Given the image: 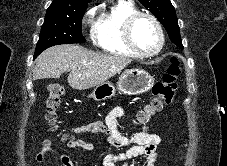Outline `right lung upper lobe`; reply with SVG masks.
Segmentation results:
<instances>
[{"label": "right lung upper lobe", "instance_id": "right-lung-upper-lobe-1", "mask_svg": "<svg viewBox=\"0 0 227 166\" xmlns=\"http://www.w3.org/2000/svg\"><path fill=\"white\" fill-rule=\"evenodd\" d=\"M91 0H53L48 12L79 11L86 9Z\"/></svg>", "mask_w": 227, "mask_h": 166}]
</instances>
